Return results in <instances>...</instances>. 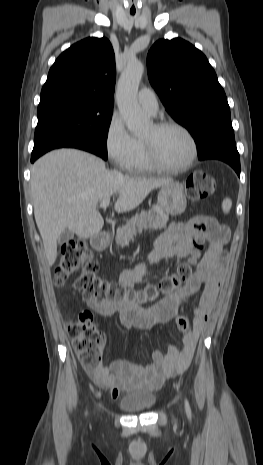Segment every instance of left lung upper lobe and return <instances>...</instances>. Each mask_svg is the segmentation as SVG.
<instances>
[{"mask_svg": "<svg viewBox=\"0 0 263 465\" xmlns=\"http://www.w3.org/2000/svg\"><path fill=\"white\" fill-rule=\"evenodd\" d=\"M148 76L168 113L193 136L198 154L234 140L225 92L205 55L189 42L159 40L147 56Z\"/></svg>", "mask_w": 263, "mask_h": 465, "instance_id": "left-lung-upper-lobe-1", "label": "left lung upper lobe"}]
</instances>
